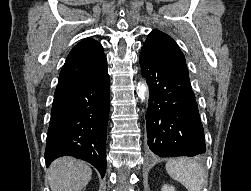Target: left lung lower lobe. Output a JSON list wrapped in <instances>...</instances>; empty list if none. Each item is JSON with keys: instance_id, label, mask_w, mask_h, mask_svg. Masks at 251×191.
Segmentation results:
<instances>
[{"instance_id": "0a47b994", "label": "left lung lower lobe", "mask_w": 251, "mask_h": 191, "mask_svg": "<svg viewBox=\"0 0 251 191\" xmlns=\"http://www.w3.org/2000/svg\"><path fill=\"white\" fill-rule=\"evenodd\" d=\"M139 62L150 90L146 114L150 151L159 157L205 153L204 130L189 74L143 52Z\"/></svg>"}]
</instances>
